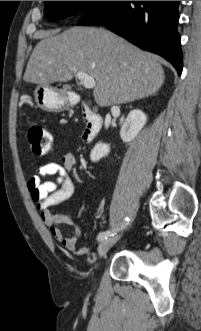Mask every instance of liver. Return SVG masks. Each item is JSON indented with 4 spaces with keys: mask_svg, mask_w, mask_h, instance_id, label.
Instances as JSON below:
<instances>
[{
    "mask_svg": "<svg viewBox=\"0 0 201 331\" xmlns=\"http://www.w3.org/2000/svg\"><path fill=\"white\" fill-rule=\"evenodd\" d=\"M78 72L94 78L93 95L101 107L155 94L165 79L153 55L110 31L88 27L46 33L34 48L23 79L48 86L70 81Z\"/></svg>",
    "mask_w": 201,
    "mask_h": 331,
    "instance_id": "liver-1",
    "label": "liver"
}]
</instances>
